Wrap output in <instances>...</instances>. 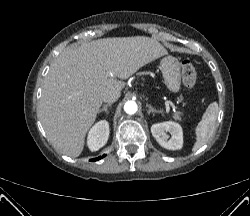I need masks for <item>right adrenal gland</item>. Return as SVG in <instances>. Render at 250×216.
Returning <instances> with one entry per match:
<instances>
[{
	"label": "right adrenal gland",
	"mask_w": 250,
	"mask_h": 216,
	"mask_svg": "<svg viewBox=\"0 0 250 216\" xmlns=\"http://www.w3.org/2000/svg\"><path fill=\"white\" fill-rule=\"evenodd\" d=\"M111 105H112V103L104 105L103 108L100 109L98 113L106 112L108 114V109L107 108L110 107Z\"/></svg>",
	"instance_id": "2a0ac1e0"
}]
</instances>
